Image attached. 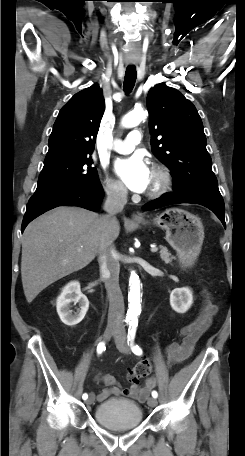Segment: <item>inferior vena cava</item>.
Returning <instances> with one entry per match:
<instances>
[{"instance_id":"602c4592","label":"inferior vena cava","mask_w":245,"mask_h":456,"mask_svg":"<svg viewBox=\"0 0 245 456\" xmlns=\"http://www.w3.org/2000/svg\"><path fill=\"white\" fill-rule=\"evenodd\" d=\"M104 204L105 214L101 216L104 231L99 248L98 262L109 298L108 326L121 329L124 315V299L119 287L120 266L116 251L109 239L112 224L117 220L115 215L121 212L127 203V189L124 185H114L106 190Z\"/></svg>"}]
</instances>
